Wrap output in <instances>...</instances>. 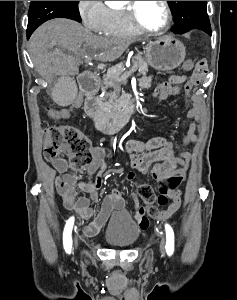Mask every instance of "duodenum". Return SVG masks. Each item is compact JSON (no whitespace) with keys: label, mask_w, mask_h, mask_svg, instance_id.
<instances>
[{"label":"duodenum","mask_w":237,"mask_h":300,"mask_svg":"<svg viewBox=\"0 0 237 300\" xmlns=\"http://www.w3.org/2000/svg\"><path fill=\"white\" fill-rule=\"evenodd\" d=\"M79 86L85 98V110L103 134H114L120 131L137 111V101L131 99L117 115H108L96 97L98 79L93 73L84 72L79 77Z\"/></svg>","instance_id":"1"}]
</instances>
